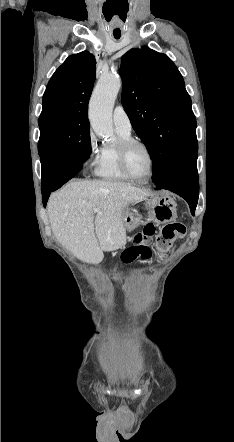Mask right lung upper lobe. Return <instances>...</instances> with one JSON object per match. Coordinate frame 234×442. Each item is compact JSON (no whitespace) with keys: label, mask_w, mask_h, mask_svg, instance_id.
<instances>
[{"label":"right lung upper lobe","mask_w":234,"mask_h":442,"mask_svg":"<svg viewBox=\"0 0 234 442\" xmlns=\"http://www.w3.org/2000/svg\"><path fill=\"white\" fill-rule=\"evenodd\" d=\"M95 70V57L88 51L69 56L48 82L40 118L53 115L88 118Z\"/></svg>","instance_id":"1"}]
</instances>
